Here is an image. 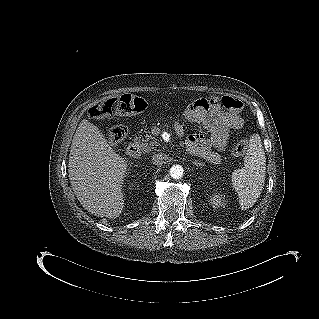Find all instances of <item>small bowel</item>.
I'll use <instances>...</instances> for the list:
<instances>
[{"label":"small bowel","mask_w":319,"mask_h":319,"mask_svg":"<svg viewBox=\"0 0 319 319\" xmlns=\"http://www.w3.org/2000/svg\"><path fill=\"white\" fill-rule=\"evenodd\" d=\"M243 120L236 112H223L214 107L209 112V117L204 126L210 132V139H205L201 134L190 135L187 139L186 146L189 152L201 155L212 162H218L220 152H223L230 138L231 130L240 129ZM178 134H182L183 127L180 123L175 124Z\"/></svg>","instance_id":"obj_1"}]
</instances>
